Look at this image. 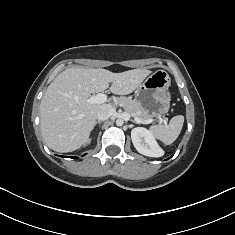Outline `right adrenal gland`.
<instances>
[{"label": "right adrenal gland", "instance_id": "obj_1", "mask_svg": "<svg viewBox=\"0 0 235 235\" xmlns=\"http://www.w3.org/2000/svg\"><path fill=\"white\" fill-rule=\"evenodd\" d=\"M101 123H102V121H97V122L95 123V125L101 124Z\"/></svg>", "mask_w": 235, "mask_h": 235}]
</instances>
